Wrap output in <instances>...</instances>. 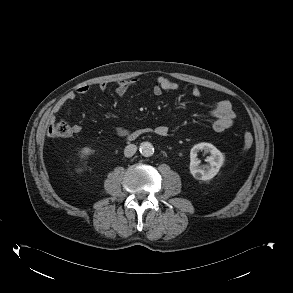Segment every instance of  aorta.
Listing matches in <instances>:
<instances>
[{"label": "aorta", "instance_id": "aorta-1", "mask_svg": "<svg viewBox=\"0 0 293 293\" xmlns=\"http://www.w3.org/2000/svg\"><path fill=\"white\" fill-rule=\"evenodd\" d=\"M140 153L144 157H149L154 153V147L150 142H142L140 145Z\"/></svg>", "mask_w": 293, "mask_h": 293}]
</instances>
